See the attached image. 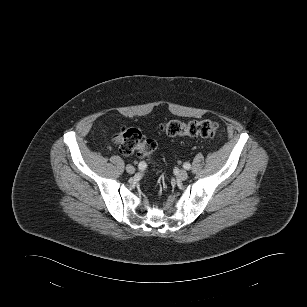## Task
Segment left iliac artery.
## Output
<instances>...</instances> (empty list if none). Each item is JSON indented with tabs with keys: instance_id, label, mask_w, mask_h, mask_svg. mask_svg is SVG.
Returning <instances> with one entry per match:
<instances>
[{
	"instance_id": "44dca946",
	"label": "left iliac artery",
	"mask_w": 307,
	"mask_h": 307,
	"mask_svg": "<svg viewBox=\"0 0 307 307\" xmlns=\"http://www.w3.org/2000/svg\"><path fill=\"white\" fill-rule=\"evenodd\" d=\"M183 167H184L185 169L189 170V169L191 168V165H190V163L185 162L184 165H183Z\"/></svg>"
}]
</instances>
